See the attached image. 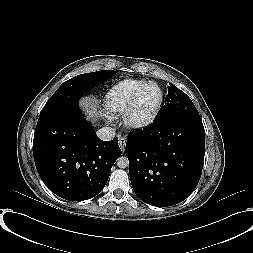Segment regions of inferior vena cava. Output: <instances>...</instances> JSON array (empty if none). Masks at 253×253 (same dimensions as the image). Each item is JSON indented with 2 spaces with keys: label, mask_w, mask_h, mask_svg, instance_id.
<instances>
[{
  "label": "inferior vena cava",
  "mask_w": 253,
  "mask_h": 253,
  "mask_svg": "<svg viewBox=\"0 0 253 253\" xmlns=\"http://www.w3.org/2000/svg\"><path fill=\"white\" fill-rule=\"evenodd\" d=\"M96 134L103 141H111L116 135L115 129L111 127H102Z\"/></svg>",
  "instance_id": "602c4592"
}]
</instances>
